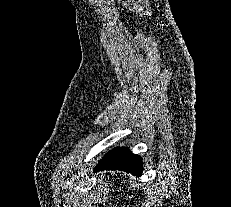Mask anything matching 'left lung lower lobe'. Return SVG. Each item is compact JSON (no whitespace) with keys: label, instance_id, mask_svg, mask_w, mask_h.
<instances>
[{"label":"left lung lower lobe","instance_id":"1","mask_svg":"<svg viewBox=\"0 0 231 207\" xmlns=\"http://www.w3.org/2000/svg\"><path fill=\"white\" fill-rule=\"evenodd\" d=\"M105 169L123 170L140 176L143 167L139 156L133 155L126 148L119 147L108 152L107 155L96 165L94 171Z\"/></svg>","mask_w":231,"mask_h":207}]
</instances>
